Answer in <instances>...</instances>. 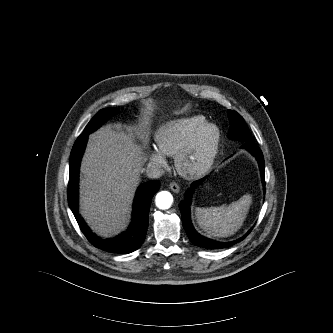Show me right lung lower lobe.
<instances>
[{
  "instance_id": "obj_1",
  "label": "right lung lower lobe",
  "mask_w": 333,
  "mask_h": 333,
  "mask_svg": "<svg viewBox=\"0 0 333 333\" xmlns=\"http://www.w3.org/2000/svg\"><path fill=\"white\" fill-rule=\"evenodd\" d=\"M88 139L82 134L76 140L70 155V173L68 184V203L80 229L95 247L111 253L127 254L138 249L143 243L148 227L149 208L152 197L159 190V181H150L139 186L133 205L132 222L125 233L112 239H101L91 232L78 213V177L79 166Z\"/></svg>"
}]
</instances>
